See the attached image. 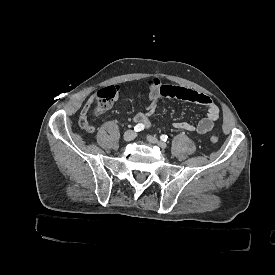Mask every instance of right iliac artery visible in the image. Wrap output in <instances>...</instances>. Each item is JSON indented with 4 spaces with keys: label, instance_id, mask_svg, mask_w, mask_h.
Instances as JSON below:
<instances>
[{
    "label": "right iliac artery",
    "instance_id": "right-iliac-artery-1",
    "mask_svg": "<svg viewBox=\"0 0 275 275\" xmlns=\"http://www.w3.org/2000/svg\"><path fill=\"white\" fill-rule=\"evenodd\" d=\"M143 129H144V125L141 124V123L137 124V125L134 127V130H135L136 132L142 131Z\"/></svg>",
    "mask_w": 275,
    "mask_h": 275
}]
</instances>
